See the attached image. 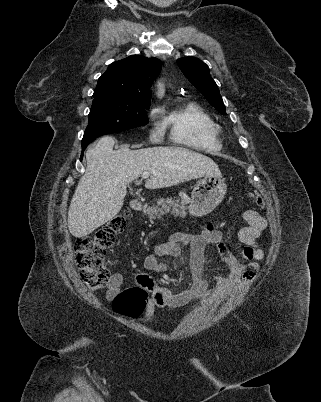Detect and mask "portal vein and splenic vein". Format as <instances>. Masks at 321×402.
I'll return each mask as SVG.
<instances>
[{
  "mask_svg": "<svg viewBox=\"0 0 321 402\" xmlns=\"http://www.w3.org/2000/svg\"><path fill=\"white\" fill-rule=\"evenodd\" d=\"M149 175L150 174L148 172H144V173H142V178L147 179L149 177Z\"/></svg>",
  "mask_w": 321,
  "mask_h": 402,
  "instance_id": "1",
  "label": "portal vein and splenic vein"
}]
</instances>
